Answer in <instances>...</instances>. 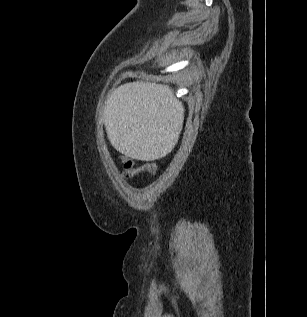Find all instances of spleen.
I'll return each instance as SVG.
<instances>
[{
  "mask_svg": "<svg viewBox=\"0 0 307 317\" xmlns=\"http://www.w3.org/2000/svg\"><path fill=\"white\" fill-rule=\"evenodd\" d=\"M181 103L167 86L126 84L110 96L104 112L107 135L116 150L139 160H162L179 148L175 130Z\"/></svg>",
  "mask_w": 307,
  "mask_h": 317,
  "instance_id": "spleen-1",
  "label": "spleen"
}]
</instances>
